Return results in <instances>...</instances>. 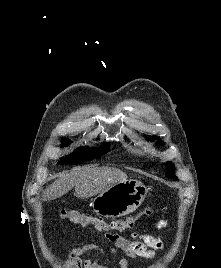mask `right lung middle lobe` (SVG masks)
<instances>
[{
  "instance_id": "1",
  "label": "right lung middle lobe",
  "mask_w": 221,
  "mask_h": 268,
  "mask_svg": "<svg viewBox=\"0 0 221 268\" xmlns=\"http://www.w3.org/2000/svg\"><path fill=\"white\" fill-rule=\"evenodd\" d=\"M62 146H68L67 140L62 141ZM109 150V144L106 143L99 147L98 149L90 150L88 148H79L75 150L72 154L61 158L60 163H68V164H79L85 162L87 160H91L95 157H99Z\"/></svg>"
}]
</instances>
